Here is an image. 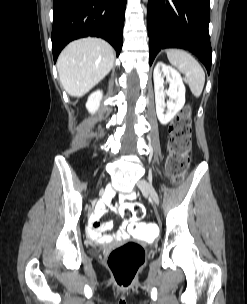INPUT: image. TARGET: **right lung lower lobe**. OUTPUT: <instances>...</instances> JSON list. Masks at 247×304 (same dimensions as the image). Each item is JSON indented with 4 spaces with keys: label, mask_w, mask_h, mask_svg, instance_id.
<instances>
[{
    "label": "right lung lower lobe",
    "mask_w": 247,
    "mask_h": 304,
    "mask_svg": "<svg viewBox=\"0 0 247 304\" xmlns=\"http://www.w3.org/2000/svg\"><path fill=\"white\" fill-rule=\"evenodd\" d=\"M127 0H54L52 50L54 62L72 40L101 37L116 50L122 48V32Z\"/></svg>",
    "instance_id": "obj_1"
}]
</instances>
